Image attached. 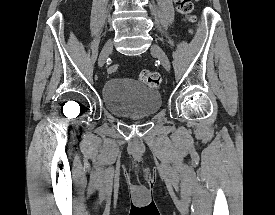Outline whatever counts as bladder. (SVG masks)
<instances>
[{
  "mask_svg": "<svg viewBox=\"0 0 275 215\" xmlns=\"http://www.w3.org/2000/svg\"><path fill=\"white\" fill-rule=\"evenodd\" d=\"M102 102L113 115L146 118L159 111L162 99L159 91L143 82L112 78L102 87Z\"/></svg>",
  "mask_w": 275,
  "mask_h": 215,
  "instance_id": "obj_1",
  "label": "bladder"
}]
</instances>
